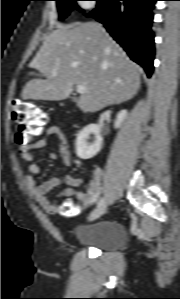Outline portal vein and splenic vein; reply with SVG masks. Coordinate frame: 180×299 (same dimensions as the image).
Listing matches in <instances>:
<instances>
[{
	"label": "portal vein and splenic vein",
	"instance_id": "1",
	"mask_svg": "<svg viewBox=\"0 0 180 299\" xmlns=\"http://www.w3.org/2000/svg\"><path fill=\"white\" fill-rule=\"evenodd\" d=\"M56 75H57L56 72H53V73H52V76H56ZM76 91H77V93H79V94H84V93L86 92V87L83 86V85H78V86L76 87Z\"/></svg>",
	"mask_w": 180,
	"mask_h": 299
}]
</instances>
